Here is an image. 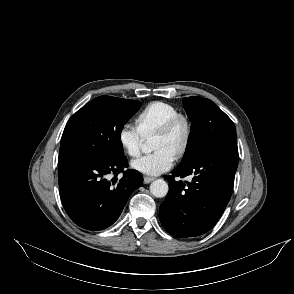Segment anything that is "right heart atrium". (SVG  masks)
Wrapping results in <instances>:
<instances>
[{
	"label": "right heart atrium",
	"mask_w": 294,
	"mask_h": 294,
	"mask_svg": "<svg viewBox=\"0 0 294 294\" xmlns=\"http://www.w3.org/2000/svg\"><path fill=\"white\" fill-rule=\"evenodd\" d=\"M143 134L138 126L126 122L118 131V142L124 152L130 157L140 154Z\"/></svg>",
	"instance_id": "1"
}]
</instances>
